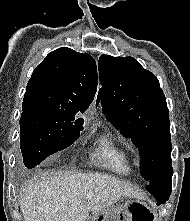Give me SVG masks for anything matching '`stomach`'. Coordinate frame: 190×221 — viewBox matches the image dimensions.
I'll use <instances>...</instances> for the list:
<instances>
[{
	"instance_id": "obj_1",
	"label": "stomach",
	"mask_w": 190,
	"mask_h": 221,
	"mask_svg": "<svg viewBox=\"0 0 190 221\" xmlns=\"http://www.w3.org/2000/svg\"><path fill=\"white\" fill-rule=\"evenodd\" d=\"M153 208L148 200H118V204L104 208L91 221H155Z\"/></svg>"
}]
</instances>
